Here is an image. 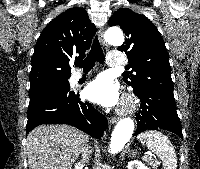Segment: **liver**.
<instances>
[{
  "label": "liver",
  "mask_w": 200,
  "mask_h": 169,
  "mask_svg": "<svg viewBox=\"0 0 200 169\" xmlns=\"http://www.w3.org/2000/svg\"><path fill=\"white\" fill-rule=\"evenodd\" d=\"M88 141L69 125L38 126L27 136L29 169H71Z\"/></svg>",
  "instance_id": "1"
}]
</instances>
